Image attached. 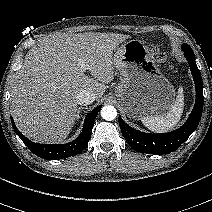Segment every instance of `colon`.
<instances>
[{
    "instance_id": "5ec220e1",
    "label": "colon",
    "mask_w": 212,
    "mask_h": 212,
    "mask_svg": "<svg viewBox=\"0 0 212 212\" xmlns=\"http://www.w3.org/2000/svg\"><path fill=\"white\" fill-rule=\"evenodd\" d=\"M151 52L154 55H156L160 61H162V62H166L167 61L166 56L163 53H161L158 48L152 47Z\"/></svg>"
}]
</instances>
